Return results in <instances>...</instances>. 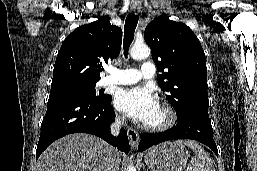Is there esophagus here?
Here are the masks:
<instances>
[{
  "mask_svg": "<svg viewBox=\"0 0 257 171\" xmlns=\"http://www.w3.org/2000/svg\"><path fill=\"white\" fill-rule=\"evenodd\" d=\"M140 8H141V6L137 2L131 4V10L134 13H138L140 11ZM127 135H128L131 147L136 148L137 145H138V142H139L138 132L135 129H133L131 127H128L127 128Z\"/></svg>",
  "mask_w": 257,
  "mask_h": 171,
  "instance_id": "34e87169",
  "label": "esophagus"
}]
</instances>
